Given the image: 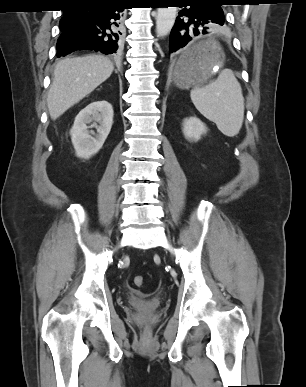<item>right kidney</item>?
<instances>
[{"instance_id": "ca27d5eb", "label": "right kidney", "mask_w": 306, "mask_h": 387, "mask_svg": "<svg viewBox=\"0 0 306 387\" xmlns=\"http://www.w3.org/2000/svg\"><path fill=\"white\" fill-rule=\"evenodd\" d=\"M112 124L113 108L109 102L105 100L95 101L82 109L76 116L70 130L76 156L89 159L98 153L110 133ZM93 127L97 129V134L89 131V128Z\"/></svg>"}]
</instances>
